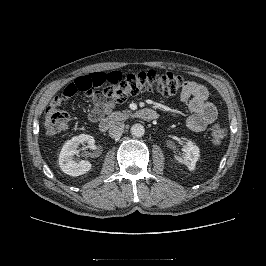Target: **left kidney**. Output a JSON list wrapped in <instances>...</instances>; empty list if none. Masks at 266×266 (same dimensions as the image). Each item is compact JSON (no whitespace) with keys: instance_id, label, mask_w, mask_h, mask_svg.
Instances as JSON below:
<instances>
[{"instance_id":"left-kidney-1","label":"left kidney","mask_w":266,"mask_h":266,"mask_svg":"<svg viewBox=\"0 0 266 266\" xmlns=\"http://www.w3.org/2000/svg\"><path fill=\"white\" fill-rule=\"evenodd\" d=\"M186 141L187 142L184 145L185 157L181 160V162L185 164L189 170H194L196 162L198 161L200 156L199 147L190 140Z\"/></svg>"}]
</instances>
